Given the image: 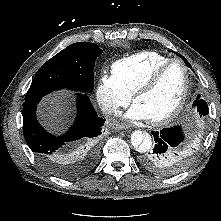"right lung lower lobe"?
<instances>
[{
    "mask_svg": "<svg viewBox=\"0 0 221 221\" xmlns=\"http://www.w3.org/2000/svg\"><path fill=\"white\" fill-rule=\"evenodd\" d=\"M40 99L25 100L23 107V133L30 149L36 153L39 161L52 173L61 177L71 178L79 175L82 170L71 166L73 153L62 149L69 143L91 139L100 135L105 119L97 116L89 98L77 93V117L70 131L60 137L46 132L36 119V107ZM85 149V148H84ZM93 151L89 156H93Z\"/></svg>",
    "mask_w": 221,
    "mask_h": 221,
    "instance_id": "obj_1",
    "label": "right lung lower lobe"
}]
</instances>
